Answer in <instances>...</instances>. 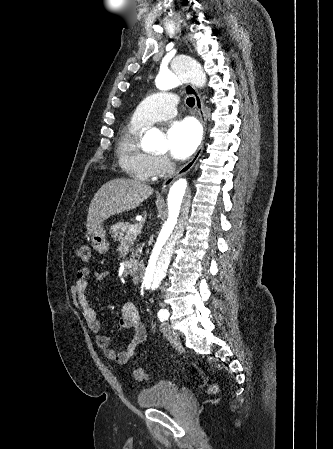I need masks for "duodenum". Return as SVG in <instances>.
Wrapping results in <instances>:
<instances>
[{"label":"duodenum","instance_id":"410a0bca","mask_svg":"<svg viewBox=\"0 0 333 449\" xmlns=\"http://www.w3.org/2000/svg\"><path fill=\"white\" fill-rule=\"evenodd\" d=\"M132 281L135 285H139L142 278V267L140 265H134L129 270Z\"/></svg>","mask_w":333,"mask_h":449}]
</instances>
